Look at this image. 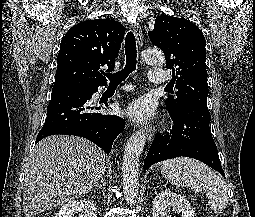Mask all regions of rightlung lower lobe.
<instances>
[{
  "instance_id": "obj_1",
  "label": "right lung lower lobe",
  "mask_w": 255,
  "mask_h": 217,
  "mask_svg": "<svg viewBox=\"0 0 255 217\" xmlns=\"http://www.w3.org/2000/svg\"><path fill=\"white\" fill-rule=\"evenodd\" d=\"M99 86L63 84L53 87L47 118L36 143L50 135H75L96 143L109 153L125 122L116 115L101 114L98 111L103 107L90 102Z\"/></svg>"
}]
</instances>
